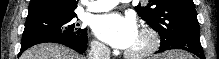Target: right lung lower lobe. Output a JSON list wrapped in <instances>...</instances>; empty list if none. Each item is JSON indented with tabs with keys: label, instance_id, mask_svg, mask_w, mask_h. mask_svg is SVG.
<instances>
[{
	"label": "right lung lower lobe",
	"instance_id": "obj_1",
	"mask_svg": "<svg viewBox=\"0 0 219 59\" xmlns=\"http://www.w3.org/2000/svg\"><path fill=\"white\" fill-rule=\"evenodd\" d=\"M46 42H53V43H59V44H63L69 48H72L73 50L79 52V53H83L85 52L86 48H87V42L83 43V42H78L75 40H71V39H65V38H61V39H54V40H50V41H46ZM33 46V45H32ZM31 46L25 47V48H21L19 55H21V53H23L27 48H29Z\"/></svg>",
	"mask_w": 219,
	"mask_h": 59
}]
</instances>
